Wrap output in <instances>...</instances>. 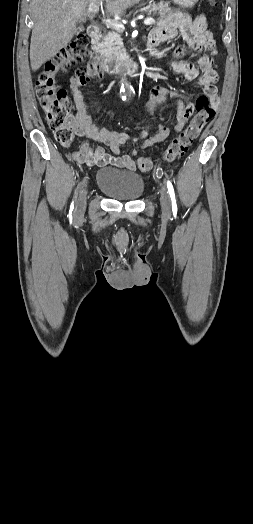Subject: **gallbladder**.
<instances>
[{"label": "gallbladder", "instance_id": "bac80fb5", "mask_svg": "<svg viewBox=\"0 0 253 524\" xmlns=\"http://www.w3.org/2000/svg\"><path fill=\"white\" fill-rule=\"evenodd\" d=\"M82 30H83V27H82V26H79V27L77 28V31H76V32L79 33V32L82 31Z\"/></svg>", "mask_w": 253, "mask_h": 524}]
</instances>
